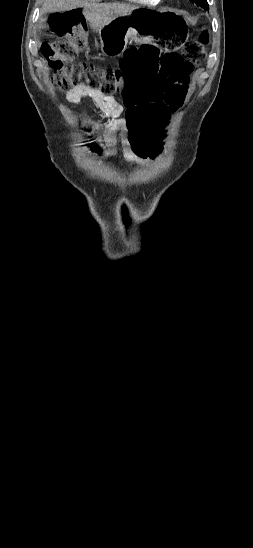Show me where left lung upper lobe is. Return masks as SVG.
Returning a JSON list of instances; mask_svg holds the SVG:
<instances>
[{
	"label": "left lung upper lobe",
	"mask_w": 253,
	"mask_h": 548,
	"mask_svg": "<svg viewBox=\"0 0 253 548\" xmlns=\"http://www.w3.org/2000/svg\"><path fill=\"white\" fill-rule=\"evenodd\" d=\"M192 2H195V3H207V0H191Z\"/></svg>",
	"instance_id": "5c2ea615"
}]
</instances>
